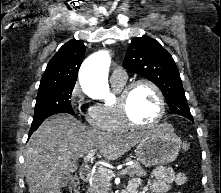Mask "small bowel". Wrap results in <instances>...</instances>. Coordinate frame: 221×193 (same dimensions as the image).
Here are the masks:
<instances>
[{"label": "small bowel", "mask_w": 221, "mask_h": 193, "mask_svg": "<svg viewBox=\"0 0 221 193\" xmlns=\"http://www.w3.org/2000/svg\"><path fill=\"white\" fill-rule=\"evenodd\" d=\"M187 182L188 178L185 173H176L170 167L158 166L152 172V182L149 185V191L150 193H168L172 186H183L187 184ZM142 186L143 179L141 177H135L131 180L128 189L137 193Z\"/></svg>", "instance_id": "1"}]
</instances>
